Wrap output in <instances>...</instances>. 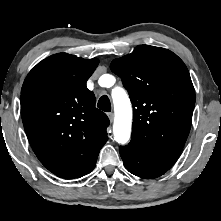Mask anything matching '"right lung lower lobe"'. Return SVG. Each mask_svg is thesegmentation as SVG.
<instances>
[{
	"instance_id": "1",
	"label": "right lung lower lobe",
	"mask_w": 221,
	"mask_h": 221,
	"mask_svg": "<svg viewBox=\"0 0 221 221\" xmlns=\"http://www.w3.org/2000/svg\"><path fill=\"white\" fill-rule=\"evenodd\" d=\"M96 160H97V158L89 165V167L83 172V174L80 177L90 173L94 169V167L96 165Z\"/></svg>"
}]
</instances>
